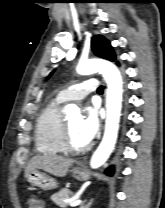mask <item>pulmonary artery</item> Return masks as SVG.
<instances>
[{"label": "pulmonary artery", "instance_id": "e3ab8cb5", "mask_svg": "<svg viewBox=\"0 0 165 208\" xmlns=\"http://www.w3.org/2000/svg\"><path fill=\"white\" fill-rule=\"evenodd\" d=\"M99 82L95 78L87 79L84 82L75 84L59 92L57 100L60 102L77 101L85 98L89 93L97 91Z\"/></svg>", "mask_w": 165, "mask_h": 208}]
</instances>
